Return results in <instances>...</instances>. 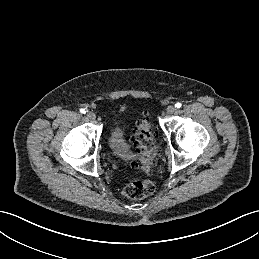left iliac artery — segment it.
<instances>
[{
    "mask_svg": "<svg viewBox=\"0 0 259 259\" xmlns=\"http://www.w3.org/2000/svg\"><path fill=\"white\" fill-rule=\"evenodd\" d=\"M181 106H182V104L179 103V102H177V103L175 104V107H176L177 109L181 108Z\"/></svg>",
    "mask_w": 259,
    "mask_h": 259,
    "instance_id": "obj_1",
    "label": "left iliac artery"
}]
</instances>
